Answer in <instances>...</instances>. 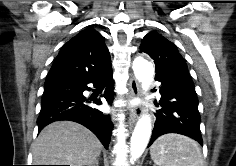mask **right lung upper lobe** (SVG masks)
Listing matches in <instances>:
<instances>
[{"label": "right lung upper lobe", "mask_w": 236, "mask_h": 166, "mask_svg": "<svg viewBox=\"0 0 236 166\" xmlns=\"http://www.w3.org/2000/svg\"><path fill=\"white\" fill-rule=\"evenodd\" d=\"M110 67V54L103 36L88 27L61 48L46 80L58 77H90Z\"/></svg>", "instance_id": "right-lung-upper-lobe-1"}]
</instances>
